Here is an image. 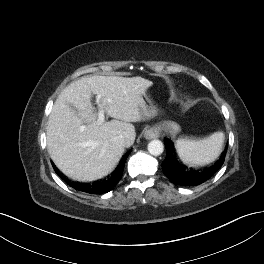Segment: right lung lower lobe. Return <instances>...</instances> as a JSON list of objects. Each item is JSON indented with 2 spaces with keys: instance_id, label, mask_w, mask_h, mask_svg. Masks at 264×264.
Listing matches in <instances>:
<instances>
[{
  "instance_id": "obj_1",
  "label": "right lung lower lobe",
  "mask_w": 264,
  "mask_h": 264,
  "mask_svg": "<svg viewBox=\"0 0 264 264\" xmlns=\"http://www.w3.org/2000/svg\"><path fill=\"white\" fill-rule=\"evenodd\" d=\"M128 157V154L124 156L122 161L119 163L117 168L112 172V174L105 180L96 182L94 184H77L74 182L69 181L68 179H65L59 172L56 171V173L63 178L66 183L73 187L76 190L87 192V193H94V194H99V193H106L112 190L117 182L121 179L125 161Z\"/></svg>"
}]
</instances>
